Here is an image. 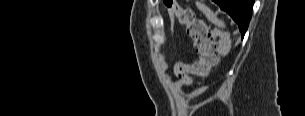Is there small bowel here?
Returning a JSON list of instances; mask_svg holds the SVG:
<instances>
[{
  "mask_svg": "<svg viewBox=\"0 0 305 116\" xmlns=\"http://www.w3.org/2000/svg\"><path fill=\"white\" fill-rule=\"evenodd\" d=\"M198 93L197 92H193L190 94V97H195Z\"/></svg>",
  "mask_w": 305,
  "mask_h": 116,
  "instance_id": "small-bowel-1",
  "label": "small bowel"
}]
</instances>
